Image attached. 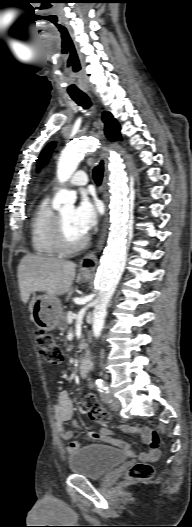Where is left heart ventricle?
Wrapping results in <instances>:
<instances>
[{
	"instance_id": "b2bd125f",
	"label": "left heart ventricle",
	"mask_w": 192,
	"mask_h": 527,
	"mask_svg": "<svg viewBox=\"0 0 192 527\" xmlns=\"http://www.w3.org/2000/svg\"><path fill=\"white\" fill-rule=\"evenodd\" d=\"M74 209L69 207L62 210L59 215L63 222L66 239L69 243H77L84 238V234L76 227L73 220Z\"/></svg>"
}]
</instances>
